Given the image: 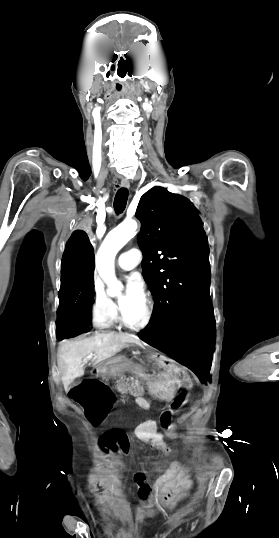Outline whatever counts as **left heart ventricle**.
Masks as SVG:
<instances>
[{"label":"left heart ventricle","instance_id":"1","mask_svg":"<svg viewBox=\"0 0 279 538\" xmlns=\"http://www.w3.org/2000/svg\"><path fill=\"white\" fill-rule=\"evenodd\" d=\"M103 215H99L102 219ZM119 302L125 317L133 323L142 320L145 315V302L142 296H127L126 291H121L118 295Z\"/></svg>","mask_w":279,"mask_h":538}]
</instances>
